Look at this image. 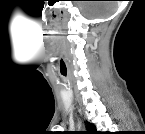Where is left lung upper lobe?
<instances>
[{
    "instance_id": "5c2ea615",
    "label": "left lung upper lobe",
    "mask_w": 145,
    "mask_h": 134,
    "mask_svg": "<svg viewBox=\"0 0 145 134\" xmlns=\"http://www.w3.org/2000/svg\"><path fill=\"white\" fill-rule=\"evenodd\" d=\"M86 128L88 130V132H86V133H88V134H97L96 128L93 124L88 123Z\"/></svg>"
}]
</instances>
